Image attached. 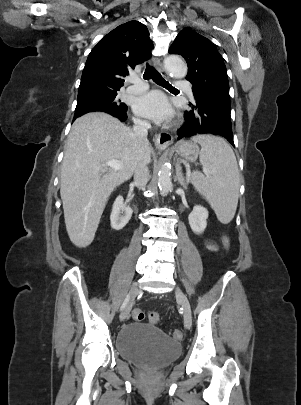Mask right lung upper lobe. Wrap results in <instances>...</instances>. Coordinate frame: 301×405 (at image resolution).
I'll list each match as a JSON object with an SVG mask.
<instances>
[{
	"instance_id": "cb5924a9",
	"label": "right lung upper lobe",
	"mask_w": 301,
	"mask_h": 405,
	"mask_svg": "<svg viewBox=\"0 0 301 405\" xmlns=\"http://www.w3.org/2000/svg\"><path fill=\"white\" fill-rule=\"evenodd\" d=\"M153 43L147 27L138 21L124 23L92 49L83 69L79 91L105 88L120 89L134 68L151 56Z\"/></svg>"
}]
</instances>
